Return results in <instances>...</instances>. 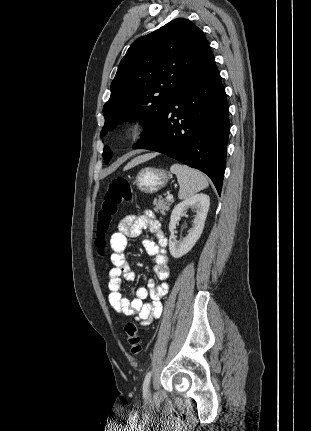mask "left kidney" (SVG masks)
Wrapping results in <instances>:
<instances>
[{"mask_svg": "<svg viewBox=\"0 0 311 431\" xmlns=\"http://www.w3.org/2000/svg\"><path fill=\"white\" fill-rule=\"evenodd\" d=\"M209 206V196H206V194H196V196H191V198H187L184 202H180V204L175 206L174 210H172L169 223V231L171 233L169 237V249L173 257H182V255L188 253L193 245H195L203 231ZM189 208L196 212V217H194L193 221V229H190L188 235H186L182 241H177L174 235L176 223L178 219H180L181 214H184Z\"/></svg>", "mask_w": 311, "mask_h": 431, "instance_id": "obj_1", "label": "left kidney"}]
</instances>
